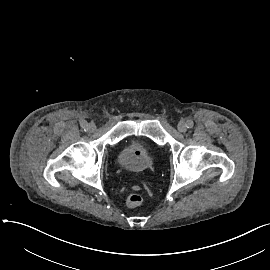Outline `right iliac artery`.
I'll list each match as a JSON object with an SVG mask.
<instances>
[{
  "instance_id": "obj_1",
  "label": "right iliac artery",
  "mask_w": 270,
  "mask_h": 270,
  "mask_svg": "<svg viewBox=\"0 0 270 270\" xmlns=\"http://www.w3.org/2000/svg\"><path fill=\"white\" fill-rule=\"evenodd\" d=\"M87 125H88V123H87V121H85V120H82V121L80 122V126H81L82 128H86Z\"/></svg>"
}]
</instances>
